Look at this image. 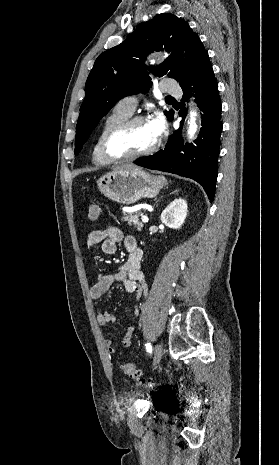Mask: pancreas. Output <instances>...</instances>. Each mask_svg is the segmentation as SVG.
Segmentation results:
<instances>
[{
	"label": "pancreas",
	"instance_id": "obj_1",
	"mask_svg": "<svg viewBox=\"0 0 279 465\" xmlns=\"http://www.w3.org/2000/svg\"><path fill=\"white\" fill-rule=\"evenodd\" d=\"M140 215V211L124 213L122 220L127 221V224L136 228L137 231H141L143 229V224L139 220Z\"/></svg>",
	"mask_w": 279,
	"mask_h": 465
}]
</instances>
